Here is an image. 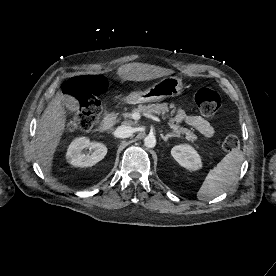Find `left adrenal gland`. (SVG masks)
I'll return each instance as SVG.
<instances>
[{"label": "left adrenal gland", "mask_w": 276, "mask_h": 276, "mask_svg": "<svg viewBox=\"0 0 276 276\" xmlns=\"http://www.w3.org/2000/svg\"><path fill=\"white\" fill-rule=\"evenodd\" d=\"M171 137H179V136H177L176 134H173V133H169V134L162 136V139L164 140V142H167L168 139Z\"/></svg>", "instance_id": "1"}]
</instances>
